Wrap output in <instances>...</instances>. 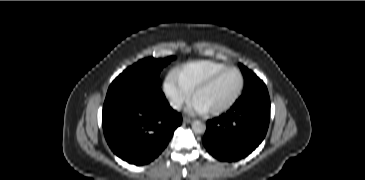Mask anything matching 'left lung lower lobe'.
Masks as SVG:
<instances>
[{"instance_id":"obj_1","label":"left lung lower lobe","mask_w":365,"mask_h":180,"mask_svg":"<svg viewBox=\"0 0 365 180\" xmlns=\"http://www.w3.org/2000/svg\"><path fill=\"white\" fill-rule=\"evenodd\" d=\"M270 120L266 86L244 92L227 113L207 121L203 144L222 161H237L250 154L264 139Z\"/></svg>"}]
</instances>
